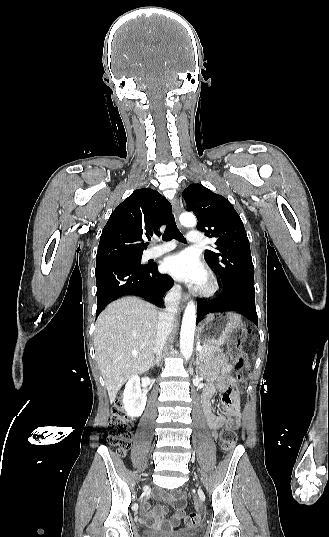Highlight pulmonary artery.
I'll return each instance as SVG.
<instances>
[{
    "mask_svg": "<svg viewBox=\"0 0 329 537\" xmlns=\"http://www.w3.org/2000/svg\"><path fill=\"white\" fill-rule=\"evenodd\" d=\"M187 240H188V242L190 244L198 245V244H200L202 242L203 237H202V234L199 231H194L193 230V231H190L187 234ZM174 247H175V244L173 242L166 243L164 245H161V246L153 248L150 251L149 256L150 257L160 256L163 253L172 250Z\"/></svg>",
    "mask_w": 329,
    "mask_h": 537,
    "instance_id": "1",
    "label": "pulmonary artery"
}]
</instances>
